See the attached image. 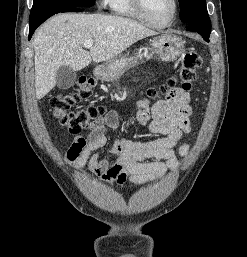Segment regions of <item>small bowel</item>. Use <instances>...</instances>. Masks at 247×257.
<instances>
[{
	"mask_svg": "<svg viewBox=\"0 0 247 257\" xmlns=\"http://www.w3.org/2000/svg\"><path fill=\"white\" fill-rule=\"evenodd\" d=\"M190 96L180 88L165 92V98L151 104L143 98L136 102L137 120L152 133L162 137L152 141H133L116 138L109 152L114 162L101 157L99 150L108 144L107 129L119 127L118 114L107 111L94 121L85 136H74L66 151V158L74 169L88 166L100 179L123 185L125 182L145 184L155 181L179 165L174 148L184 134L191 132ZM189 145L179 147V156L188 154Z\"/></svg>",
	"mask_w": 247,
	"mask_h": 257,
	"instance_id": "small-bowel-1",
	"label": "small bowel"
}]
</instances>
